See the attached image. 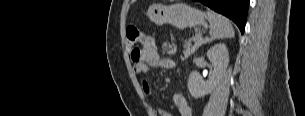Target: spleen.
I'll use <instances>...</instances> for the list:
<instances>
[{
  "label": "spleen",
  "instance_id": "3e777b00",
  "mask_svg": "<svg viewBox=\"0 0 305 116\" xmlns=\"http://www.w3.org/2000/svg\"><path fill=\"white\" fill-rule=\"evenodd\" d=\"M207 17L210 23V41L234 37L235 31L228 18L212 10L207 11Z\"/></svg>",
  "mask_w": 305,
  "mask_h": 116
}]
</instances>
